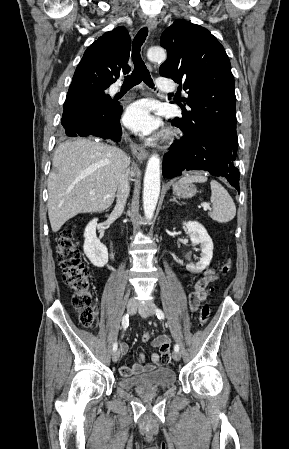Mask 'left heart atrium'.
<instances>
[{
  "label": "left heart atrium",
  "mask_w": 289,
  "mask_h": 449,
  "mask_svg": "<svg viewBox=\"0 0 289 449\" xmlns=\"http://www.w3.org/2000/svg\"><path fill=\"white\" fill-rule=\"evenodd\" d=\"M124 124L131 130L152 135L159 131L161 122L153 113L152 105L147 100H140L129 105L124 113Z\"/></svg>",
  "instance_id": "left-heart-atrium-1"
}]
</instances>
